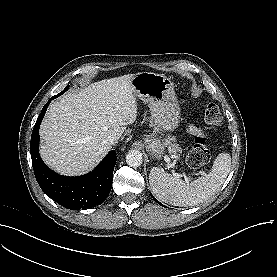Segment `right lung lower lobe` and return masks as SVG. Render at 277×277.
<instances>
[{
  "mask_svg": "<svg viewBox=\"0 0 277 277\" xmlns=\"http://www.w3.org/2000/svg\"><path fill=\"white\" fill-rule=\"evenodd\" d=\"M52 99L55 98L41 110L31 136L30 152L36 180L49 197L67 209H89L100 205L111 191L116 153L114 150L109 152L92 172L83 176L67 177L50 170L42 161L38 146L39 127Z\"/></svg>",
  "mask_w": 277,
  "mask_h": 277,
  "instance_id": "1",
  "label": "right lung lower lobe"
}]
</instances>
